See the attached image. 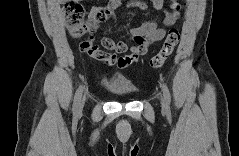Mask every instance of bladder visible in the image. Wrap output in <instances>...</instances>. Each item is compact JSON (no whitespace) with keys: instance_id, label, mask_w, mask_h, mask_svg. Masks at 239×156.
I'll list each match as a JSON object with an SVG mask.
<instances>
[{"instance_id":"1","label":"bladder","mask_w":239,"mask_h":156,"mask_svg":"<svg viewBox=\"0 0 239 156\" xmlns=\"http://www.w3.org/2000/svg\"><path fill=\"white\" fill-rule=\"evenodd\" d=\"M108 91L112 94L126 98H133L139 94V90L137 88H128L126 90L108 89Z\"/></svg>"}]
</instances>
